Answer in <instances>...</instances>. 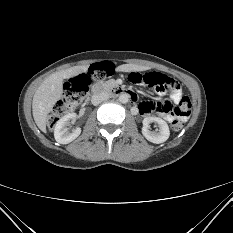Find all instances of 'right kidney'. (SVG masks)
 <instances>
[{"instance_id":"1","label":"right kidney","mask_w":233,"mask_h":233,"mask_svg":"<svg viewBox=\"0 0 233 233\" xmlns=\"http://www.w3.org/2000/svg\"><path fill=\"white\" fill-rule=\"evenodd\" d=\"M76 116V113H69L58 120L54 129V137L58 143L68 144L80 135V127H77L72 132H69V129L71 127L70 120L74 119Z\"/></svg>"}]
</instances>
